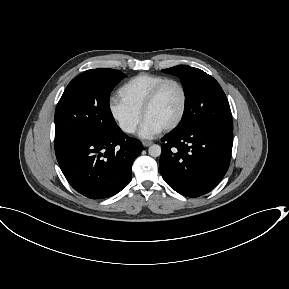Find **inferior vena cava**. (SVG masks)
I'll list each match as a JSON object with an SVG mask.
<instances>
[{
  "label": "inferior vena cava",
  "mask_w": 289,
  "mask_h": 289,
  "mask_svg": "<svg viewBox=\"0 0 289 289\" xmlns=\"http://www.w3.org/2000/svg\"><path fill=\"white\" fill-rule=\"evenodd\" d=\"M135 129H136L135 125H128L124 128V130L129 133H133Z\"/></svg>",
  "instance_id": "1"
}]
</instances>
